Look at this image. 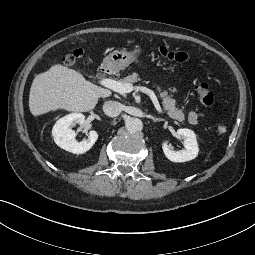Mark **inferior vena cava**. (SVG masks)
<instances>
[{"instance_id":"1","label":"inferior vena cava","mask_w":255,"mask_h":255,"mask_svg":"<svg viewBox=\"0 0 255 255\" xmlns=\"http://www.w3.org/2000/svg\"><path fill=\"white\" fill-rule=\"evenodd\" d=\"M103 111L109 117H116L121 113L122 107L117 101H106L103 104Z\"/></svg>"}]
</instances>
